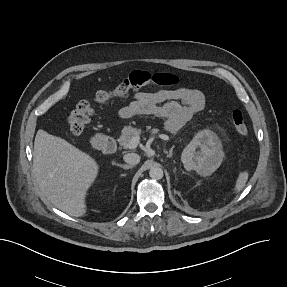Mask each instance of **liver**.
Returning a JSON list of instances; mask_svg holds the SVG:
<instances>
[{
  "instance_id": "6515ba94",
  "label": "liver",
  "mask_w": 287,
  "mask_h": 287,
  "mask_svg": "<svg viewBox=\"0 0 287 287\" xmlns=\"http://www.w3.org/2000/svg\"><path fill=\"white\" fill-rule=\"evenodd\" d=\"M33 166L41 192L55 207L70 216L86 214L87 191L99 172L94 158L40 129L34 141Z\"/></svg>"
}]
</instances>
